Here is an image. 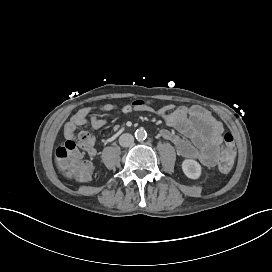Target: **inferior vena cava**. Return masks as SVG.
Returning <instances> with one entry per match:
<instances>
[{
	"mask_svg": "<svg viewBox=\"0 0 272 272\" xmlns=\"http://www.w3.org/2000/svg\"><path fill=\"white\" fill-rule=\"evenodd\" d=\"M134 137L129 133H124L119 137V144L122 147H129L133 144Z\"/></svg>",
	"mask_w": 272,
	"mask_h": 272,
	"instance_id": "602c4592",
	"label": "inferior vena cava"
}]
</instances>
